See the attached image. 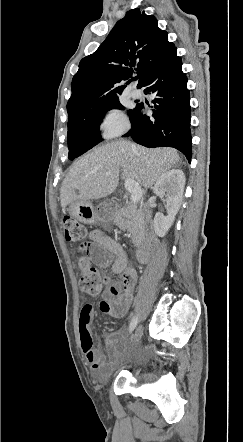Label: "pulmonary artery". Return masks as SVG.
Segmentation results:
<instances>
[{"instance_id":"pulmonary-artery-1","label":"pulmonary artery","mask_w":243,"mask_h":442,"mask_svg":"<svg viewBox=\"0 0 243 442\" xmlns=\"http://www.w3.org/2000/svg\"><path fill=\"white\" fill-rule=\"evenodd\" d=\"M131 96L135 99H139L142 97V91L137 88H133L131 90Z\"/></svg>"}]
</instances>
